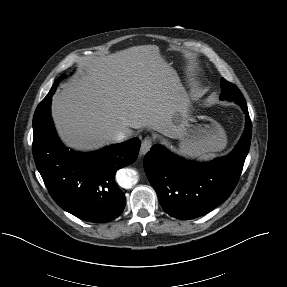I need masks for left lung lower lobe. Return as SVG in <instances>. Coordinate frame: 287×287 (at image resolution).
Masks as SVG:
<instances>
[{
  "label": "left lung lower lobe",
  "instance_id": "obj_1",
  "mask_svg": "<svg viewBox=\"0 0 287 287\" xmlns=\"http://www.w3.org/2000/svg\"><path fill=\"white\" fill-rule=\"evenodd\" d=\"M246 114L245 131L225 157L209 163L186 161L160 144L146 154L144 169L163 210L178 219L202 216L224 202L234 190L249 151L252 124L246 102H238Z\"/></svg>",
  "mask_w": 287,
  "mask_h": 287
}]
</instances>
